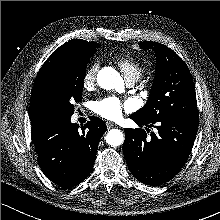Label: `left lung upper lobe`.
Returning a JSON list of instances; mask_svg holds the SVG:
<instances>
[{
    "label": "left lung upper lobe",
    "instance_id": "5c2ea615",
    "mask_svg": "<svg viewBox=\"0 0 220 220\" xmlns=\"http://www.w3.org/2000/svg\"><path fill=\"white\" fill-rule=\"evenodd\" d=\"M139 46L155 51L156 71L146 105L132 115L145 122L168 114L198 117L194 83L186 63L164 44L143 41Z\"/></svg>",
    "mask_w": 220,
    "mask_h": 220
}]
</instances>
